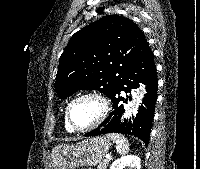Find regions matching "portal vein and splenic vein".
<instances>
[{"label": "portal vein and splenic vein", "mask_w": 200, "mask_h": 169, "mask_svg": "<svg viewBox=\"0 0 200 169\" xmlns=\"http://www.w3.org/2000/svg\"><path fill=\"white\" fill-rule=\"evenodd\" d=\"M111 159V157L109 155L106 156V160Z\"/></svg>", "instance_id": "portal-vein-and-splenic-vein-1"}]
</instances>
